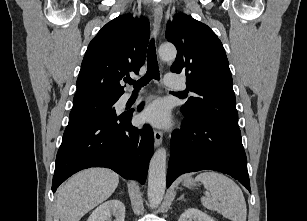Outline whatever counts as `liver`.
Wrapping results in <instances>:
<instances>
[{"label":"liver","instance_id":"1","mask_svg":"<svg viewBox=\"0 0 307 221\" xmlns=\"http://www.w3.org/2000/svg\"><path fill=\"white\" fill-rule=\"evenodd\" d=\"M119 176L105 168H90L72 176L57 193L61 221H79L115 191Z\"/></svg>","mask_w":307,"mask_h":221}]
</instances>
